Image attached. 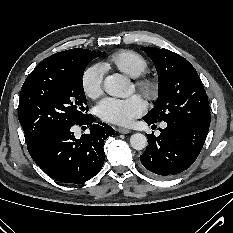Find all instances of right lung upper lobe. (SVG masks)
Listing matches in <instances>:
<instances>
[{"label": "right lung upper lobe", "mask_w": 233, "mask_h": 233, "mask_svg": "<svg viewBox=\"0 0 233 233\" xmlns=\"http://www.w3.org/2000/svg\"><path fill=\"white\" fill-rule=\"evenodd\" d=\"M76 49H80V48H76ZM70 50H72V49H70ZM64 52L65 51L55 53V54L49 56L48 58H46L44 61H42V63L43 64H48V65L55 64V63L59 62L62 59V56L64 55Z\"/></svg>", "instance_id": "cb5924a9"}]
</instances>
